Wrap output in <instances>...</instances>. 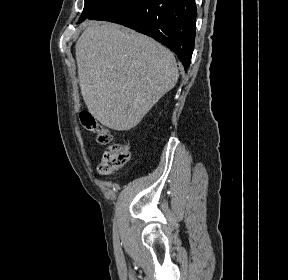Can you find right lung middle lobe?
<instances>
[{
    "label": "right lung middle lobe",
    "mask_w": 288,
    "mask_h": 280,
    "mask_svg": "<svg viewBox=\"0 0 288 280\" xmlns=\"http://www.w3.org/2000/svg\"><path fill=\"white\" fill-rule=\"evenodd\" d=\"M111 1L112 0H85L84 9L79 22H82L83 20L91 16L94 12H96L100 7Z\"/></svg>",
    "instance_id": "dd1d6c3e"
}]
</instances>
